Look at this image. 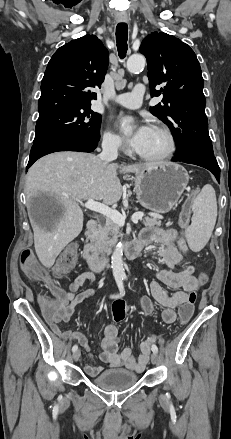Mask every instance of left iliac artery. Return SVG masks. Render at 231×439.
<instances>
[{"label": "left iliac artery", "instance_id": "obj_1", "mask_svg": "<svg viewBox=\"0 0 231 439\" xmlns=\"http://www.w3.org/2000/svg\"><path fill=\"white\" fill-rule=\"evenodd\" d=\"M151 349L154 353H158V347L155 344L152 345Z\"/></svg>", "mask_w": 231, "mask_h": 439}]
</instances>
